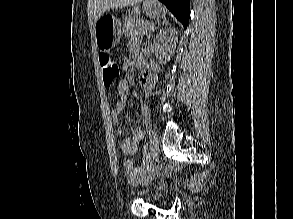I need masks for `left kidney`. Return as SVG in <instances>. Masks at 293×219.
Masks as SVG:
<instances>
[{
    "mask_svg": "<svg viewBox=\"0 0 293 219\" xmlns=\"http://www.w3.org/2000/svg\"><path fill=\"white\" fill-rule=\"evenodd\" d=\"M178 32L175 28L160 30L154 40V53L160 63H166L174 54Z\"/></svg>",
    "mask_w": 293,
    "mask_h": 219,
    "instance_id": "left-kidney-1",
    "label": "left kidney"
}]
</instances>
